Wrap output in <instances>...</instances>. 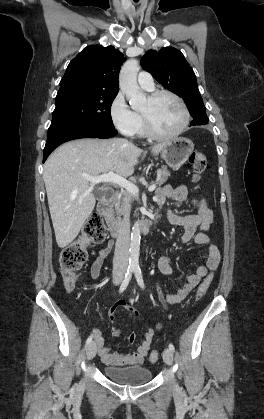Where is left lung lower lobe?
Instances as JSON below:
<instances>
[{"label":"left lung lower lobe","instance_id":"0a47b994","mask_svg":"<svg viewBox=\"0 0 264 419\" xmlns=\"http://www.w3.org/2000/svg\"><path fill=\"white\" fill-rule=\"evenodd\" d=\"M194 119L191 122V125H205L208 124V119H205L203 115H196L193 117Z\"/></svg>","mask_w":264,"mask_h":419}]
</instances>
